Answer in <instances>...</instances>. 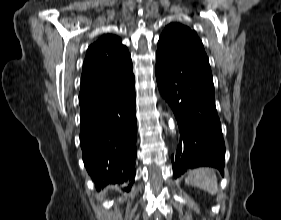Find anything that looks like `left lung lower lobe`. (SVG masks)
<instances>
[{
	"label": "left lung lower lobe",
	"mask_w": 281,
	"mask_h": 220,
	"mask_svg": "<svg viewBox=\"0 0 281 220\" xmlns=\"http://www.w3.org/2000/svg\"><path fill=\"white\" fill-rule=\"evenodd\" d=\"M157 84L178 122L180 143L171 157L178 178L199 166L224 173L225 144L211 72L180 56L156 55Z\"/></svg>",
	"instance_id": "obj_1"
}]
</instances>
